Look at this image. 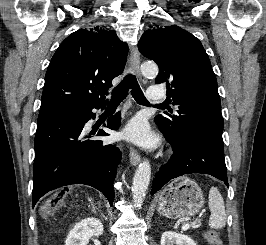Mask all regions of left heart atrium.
Wrapping results in <instances>:
<instances>
[{"mask_svg":"<svg viewBox=\"0 0 266 245\" xmlns=\"http://www.w3.org/2000/svg\"><path fill=\"white\" fill-rule=\"evenodd\" d=\"M124 135L129 140L144 145H150L154 140L147 123L142 120H133L130 122L125 129Z\"/></svg>","mask_w":266,"mask_h":245,"instance_id":"obj_1","label":"left heart atrium"}]
</instances>
